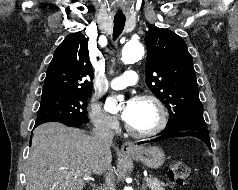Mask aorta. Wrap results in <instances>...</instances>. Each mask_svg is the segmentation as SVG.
Returning a JSON list of instances; mask_svg holds the SVG:
<instances>
[{
  "instance_id": "obj_1",
  "label": "aorta",
  "mask_w": 238,
  "mask_h": 190,
  "mask_svg": "<svg viewBox=\"0 0 238 190\" xmlns=\"http://www.w3.org/2000/svg\"><path fill=\"white\" fill-rule=\"evenodd\" d=\"M144 56V47L143 45L138 42L131 40L127 42L122 50V57L121 60L125 64H131L138 60H140ZM122 98V97H118ZM104 109L107 112L113 113L116 112L118 107L114 102L113 98H108L104 105ZM124 190H133L131 187H125Z\"/></svg>"
}]
</instances>
